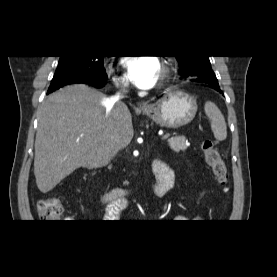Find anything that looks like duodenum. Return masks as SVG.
<instances>
[{"label": "duodenum", "mask_w": 277, "mask_h": 277, "mask_svg": "<svg viewBox=\"0 0 277 277\" xmlns=\"http://www.w3.org/2000/svg\"><path fill=\"white\" fill-rule=\"evenodd\" d=\"M154 163H156L159 167L158 169V177L157 181L151 183L148 188L154 192L156 195L162 197L167 194V191L164 195H159V182H164L165 184L169 185L171 182V174L169 167L162 162L161 160H155ZM129 192L127 189L124 188H114L112 190H108L104 192L102 195V200L106 204H111L113 206L114 212H118L122 207H124L126 198L128 196Z\"/></svg>", "instance_id": "410a0bca"}]
</instances>
